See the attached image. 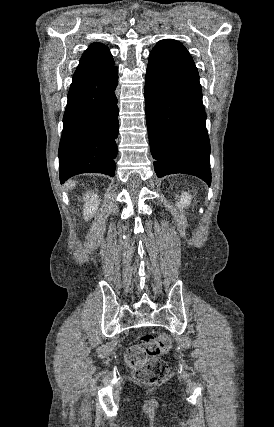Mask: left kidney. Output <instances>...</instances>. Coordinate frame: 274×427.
Masks as SVG:
<instances>
[{"label":"left kidney","mask_w":274,"mask_h":427,"mask_svg":"<svg viewBox=\"0 0 274 427\" xmlns=\"http://www.w3.org/2000/svg\"><path fill=\"white\" fill-rule=\"evenodd\" d=\"M191 196L187 192H183L180 196V202H177L178 208H185V206H190Z\"/></svg>","instance_id":"obj_1"}]
</instances>
